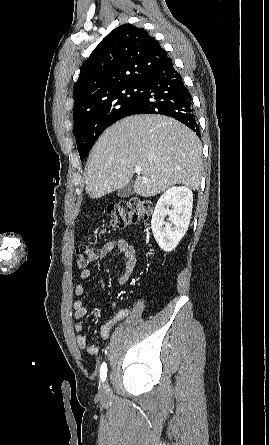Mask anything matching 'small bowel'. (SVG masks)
<instances>
[{"label": "small bowel", "mask_w": 269, "mask_h": 445, "mask_svg": "<svg viewBox=\"0 0 269 445\" xmlns=\"http://www.w3.org/2000/svg\"><path fill=\"white\" fill-rule=\"evenodd\" d=\"M114 249H118L124 258V273L119 278V283L123 285L128 281L130 275L132 274L136 266L137 263L136 251L134 246L130 244L127 240L117 239L107 242L101 248L99 255L100 257H104ZM91 275H92V270L90 268L84 269L80 273L82 279H88L91 277ZM101 288H103L102 283H101ZM74 292L77 296L84 295L85 293L84 285L79 282L76 283L74 286ZM116 306H117L116 303L112 302V307L114 309H116ZM73 308H74V316L76 319L81 320L87 315L88 308L83 300L81 299L76 300L73 304ZM129 313L130 309L128 308L117 310L115 315L101 326L100 329L101 338L103 340H106L109 336L110 330L113 327V325L116 324L118 321L127 317ZM74 329L75 332L77 333L76 343L78 347L84 350L88 354H95L97 352V346L93 343L88 342L86 335L83 333L84 331L83 323L82 322L76 323Z\"/></svg>", "instance_id": "small-bowel-1"}]
</instances>
